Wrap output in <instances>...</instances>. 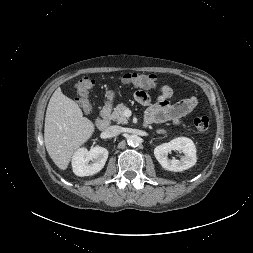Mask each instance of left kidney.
Wrapping results in <instances>:
<instances>
[{"label":"left kidney","instance_id":"left-kidney-1","mask_svg":"<svg viewBox=\"0 0 253 253\" xmlns=\"http://www.w3.org/2000/svg\"><path fill=\"white\" fill-rule=\"evenodd\" d=\"M172 150L182 151L184 153L182 159H169L168 153ZM154 155L164 169L175 172L187 170L194 166L197 161L196 147L193 141L186 137H178L157 146L154 149Z\"/></svg>","mask_w":253,"mask_h":253}]
</instances>
